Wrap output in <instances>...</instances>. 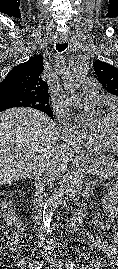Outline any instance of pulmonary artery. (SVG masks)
I'll list each match as a JSON object with an SVG mask.
<instances>
[{"instance_id": "1", "label": "pulmonary artery", "mask_w": 118, "mask_h": 269, "mask_svg": "<svg viewBox=\"0 0 118 269\" xmlns=\"http://www.w3.org/2000/svg\"><path fill=\"white\" fill-rule=\"evenodd\" d=\"M98 83L93 78H88L83 82V90L79 93L73 94L69 98L71 105H79L92 102L98 97Z\"/></svg>"}]
</instances>
